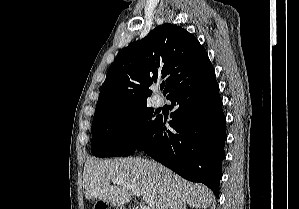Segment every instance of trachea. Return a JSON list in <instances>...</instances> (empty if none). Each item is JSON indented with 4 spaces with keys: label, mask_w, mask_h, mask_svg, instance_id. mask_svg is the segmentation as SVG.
I'll list each match as a JSON object with an SVG mask.
<instances>
[{
    "label": "trachea",
    "mask_w": 299,
    "mask_h": 209,
    "mask_svg": "<svg viewBox=\"0 0 299 209\" xmlns=\"http://www.w3.org/2000/svg\"><path fill=\"white\" fill-rule=\"evenodd\" d=\"M160 89L163 90V89H164V86H160Z\"/></svg>",
    "instance_id": "trachea-1"
}]
</instances>
